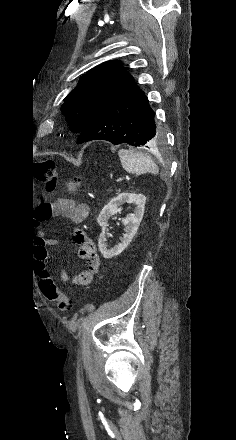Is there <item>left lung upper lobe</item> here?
<instances>
[{
	"label": "left lung upper lobe",
	"instance_id": "left-lung-upper-lobe-1",
	"mask_svg": "<svg viewBox=\"0 0 236 440\" xmlns=\"http://www.w3.org/2000/svg\"><path fill=\"white\" fill-rule=\"evenodd\" d=\"M134 83L119 61H109L88 71L62 105L69 129L80 133L108 103Z\"/></svg>",
	"mask_w": 236,
	"mask_h": 440
}]
</instances>
